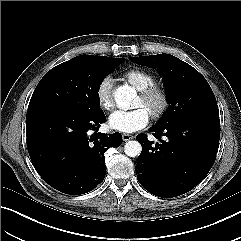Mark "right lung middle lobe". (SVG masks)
<instances>
[{"label": "right lung middle lobe", "instance_id": "right-lung-middle-lobe-1", "mask_svg": "<svg viewBox=\"0 0 241 241\" xmlns=\"http://www.w3.org/2000/svg\"><path fill=\"white\" fill-rule=\"evenodd\" d=\"M125 59L81 55L47 72L37 85L28 113L57 108L83 115L99 111V88L107 74Z\"/></svg>", "mask_w": 241, "mask_h": 241}]
</instances>
